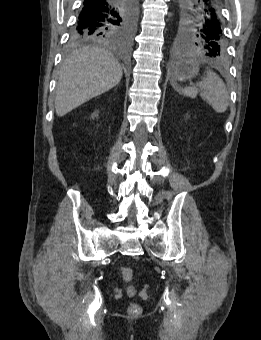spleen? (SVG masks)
<instances>
[{
    "label": "spleen",
    "instance_id": "obj_1",
    "mask_svg": "<svg viewBox=\"0 0 261 340\" xmlns=\"http://www.w3.org/2000/svg\"><path fill=\"white\" fill-rule=\"evenodd\" d=\"M198 87H185L182 93L195 98L200 92L201 97L217 113H224L229 105V93L223 80L214 72L206 71V77L198 83Z\"/></svg>",
    "mask_w": 261,
    "mask_h": 340
}]
</instances>
